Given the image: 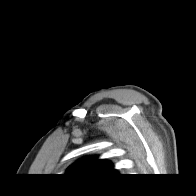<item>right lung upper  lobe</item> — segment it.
<instances>
[{"label": "right lung upper lobe", "mask_w": 196, "mask_h": 196, "mask_svg": "<svg viewBox=\"0 0 196 196\" xmlns=\"http://www.w3.org/2000/svg\"><path fill=\"white\" fill-rule=\"evenodd\" d=\"M66 174L86 177H106L116 175L113 166L97 157L84 158L72 165Z\"/></svg>", "instance_id": "obj_1"}]
</instances>
